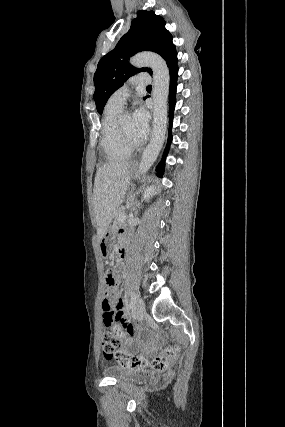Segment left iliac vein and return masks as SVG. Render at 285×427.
Wrapping results in <instances>:
<instances>
[{"mask_svg": "<svg viewBox=\"0 0 285 427\" xmlns=\"http://www.w3.org/2000/svg\"><path fill=\"white\" fill-rule=\"evenodd\" d=\"M146 310V306H145V302L142 298L138 297L135 303V315L137 317L142 316L145 313Z\"/></svg>", "mask_w": 285, "mask_h": 427, "instance_id": "1", "label": "left iliac vein"}]
</instances>
